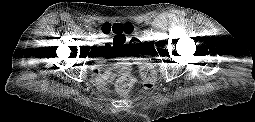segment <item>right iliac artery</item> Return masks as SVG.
I'll list each match as a JSON object with an SVG mask.
<instances>
[{"instance_id":"82829eb1","label":"right iliac artery","mask_w":255,"mask_h":122,"mask_svg":"<svg viewBox=\"0 0 255 122\" xmlns=\"http://www.w3.org/2000/svg\"><path fill=\"white\" fill-rule=\"evenodd\" d=\"M89 34L93 36V35H94V30H92L91 28H89Z\"/></svg>"}]
</instances>
